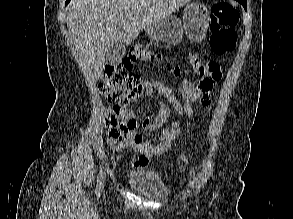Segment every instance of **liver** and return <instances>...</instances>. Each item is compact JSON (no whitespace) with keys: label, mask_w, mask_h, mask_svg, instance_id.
Here are the masks:
<instances>
[{"label":"liver","mask_w":293,"mask_h":219,"mask_svg":"<svg viewBox=\"0 0 293 219\" xmlns=\"http://www.w3.org/2000/svg\"><path fill=\"white\" fill-rule=\"evenodd\" d=\"M191 0H71L67 26L84 74L99 80L110 45L132 43L148 26L169 17Z\"/></svg>","instance_id":"1"}]
</instances>
